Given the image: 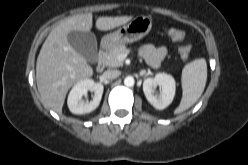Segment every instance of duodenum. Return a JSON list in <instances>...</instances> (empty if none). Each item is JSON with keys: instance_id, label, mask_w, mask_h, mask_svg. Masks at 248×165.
Segmentation results:
<instances>
[{"instance_id": "obj_1", "label": "duodenum", "mask_w": 248, "mask_h": 165, "mask_svg": "<svg viewBox=\"0 0 248 165\" xmlns=\"http://www.w3.org/2000/svg\"><path fill=\"white\" fill-rule=\"evenodd\" d=\"M106 53H107V48L104 46V47H101L100 51H99V57H98V61L96 63V71L98 73H101L104 69H105V66H106Z\"/></svg>"}]
</instances>
